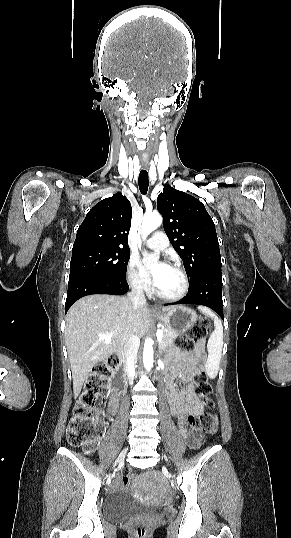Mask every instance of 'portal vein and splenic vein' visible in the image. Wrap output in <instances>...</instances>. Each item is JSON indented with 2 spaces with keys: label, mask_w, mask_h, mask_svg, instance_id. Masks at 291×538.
I'll return each instance as SVG.
<instances>
[{
  "label": "portal vein and splenic vein",
  "mask_w": 291,
  "mask_h": 538,
  "mask_svg": "<svg viewBox=\"0 0 291 538\" xmlns=\"http://www.w3.org/2000/svg\"><path fill=\"white\" fill-rule=\"evenodd\" d=\"M114 333H111V334H103L101 335V338H103L106 342H109L111 337L113 336ZM156 336H157V340L158 342H162L163 340V332L162 330H157V333H156Z\"/></svg>",
  "instance_id": "obj_1"
}]
</instances>
